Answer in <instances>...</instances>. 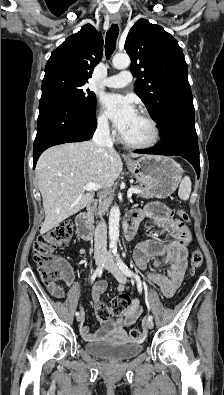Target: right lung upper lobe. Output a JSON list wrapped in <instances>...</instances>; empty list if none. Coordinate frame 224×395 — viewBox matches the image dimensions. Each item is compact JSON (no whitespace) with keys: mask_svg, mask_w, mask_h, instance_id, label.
Returning a JSON list of instances; mask_svg holds the SVG:
<instances>
[{"mask_svg":"<svg viewBox=\"0 0 224 395\" xmlns=\"http://www.w3.org/2000/svg\"><path fill=\"white\" fill-rule=\"evenodd\" d=\"M102 53L101 34L91 24H86L52 52L45 67V76L60 73L88 82Z\"/></svg>","mask_w":224,"mask_h":395,"instance_id":"1","label":"right lung upper lobe"}]
</instances>
